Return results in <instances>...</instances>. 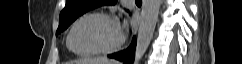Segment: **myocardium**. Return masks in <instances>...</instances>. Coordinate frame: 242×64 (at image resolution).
<instances>
[{"mask_svg":"<svg viewBox=\"0 0 242 64\" xmlns=\"http://www.w3.org/2000/svg\"><path fill=\"white\" fill-rule=\"evenodd\" d=\"M91 17H101V18H105V19H108V20H111L113 21L114 23H116V25L119 27V30H120V37L119 39L111 46L109 47H106V48H101V49H96V50H89V51H77L76 49H74V47L72 46V42H71V39H72V35H73V32L75 30V28L77 27V25L87 19V18H91ZM125 41V34L120 26V23L117 19L116 16H114L113 14H110V13H106V12H90V13H86L82 16H80L74 23L73 25L71 26L70 30H69V33L67 35V46L68 48L76 55L78 56H91V55H102V54H109V53H112L114 51H116L117 49H119L123 43Z\"/></svg>","mask_w":242,"mask_h":64,"instance_id":"1","label":"myocardium"}]
</instances>
